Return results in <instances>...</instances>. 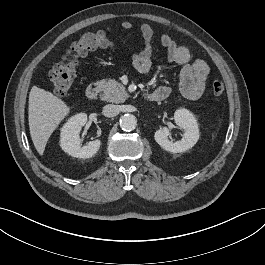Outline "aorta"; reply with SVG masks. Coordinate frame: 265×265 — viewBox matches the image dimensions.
Segmentation results:
<instances>
[{
	"instance_id": "obj_1",
	"label": "aorta",
	"mask_w": 265,
	"mask_h": 265,
	"mask_svg": "<svg viewBox=\"0 0 265 265\" xmlns=\"http://www.w3.org/2000/svg\"><path fill=\"white\" fill-rule=\"evenodd\" d=\"M137 119L132 114H125L120 119V127L123 131H132L136 128Z\"/></svg>"
}]
</instances>
